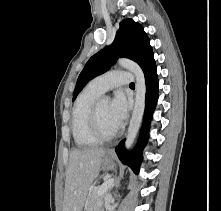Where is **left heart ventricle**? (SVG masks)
Returning <instances> with one entry per match:
<instances>
[{"instance_id": "b2bd125f", "label": "left heart ventricle", "mask_w": 221, "mask_h": 211, "mask_svg": "<svg viewBox=\"0 0 221 211\" xmlns=\"http://www.w3.org/2000/svg\"><path fill=\"white\" fill-rule=\"evenodd\" d=\"M109 104L110 103L106 100H101L99 103V121L103 132L106 134H111L117 131V128L110 117Z\"/></svg>"}]
</instances>
